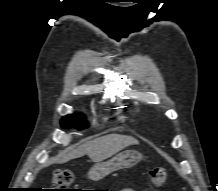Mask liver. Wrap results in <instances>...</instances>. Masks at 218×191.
<instances>
[{
    "label": "liver",
    "instance_id": "6515ba94",
    "mask_svg": "<svg viewBox=\"0 0 218 191\" xmlns=\"http://www.w3.org/2000/svg\"><path fill=\"white\" fill-rule=\"evenodd\" d=\"M138 140L131 136L120 134H109L79 146L62 158L56 160L57 163H65L71 159L82 157L87 154L93 162H102L124 148L138 144Z\"/></svg>",
    "mask_w": 218,
    "mask_h": 191
}]
</instances>
